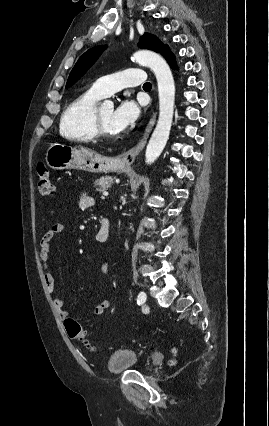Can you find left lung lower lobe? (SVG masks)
I'll list each match as a JSON object with an SVG mask.
<instances>
[{"mask_svg": "<svg viewBox=\"0 0 269 426\" xmlns=\"http://www.w3.org/2000/svg\"><path fill=\"white\" fill-rule=\"evenodd\" d=\"M160 54L167 60V62L169 63V65L172 68H177L176 62H175V56L174 54L170 51L169 47L166 46L161 52Z\"/></svg>", "mask_w": 269, "mask_h": 426, "instance_id": "left-lung-lower-lobe-1", "label": "left lung lower lobe"}]
</instances>
